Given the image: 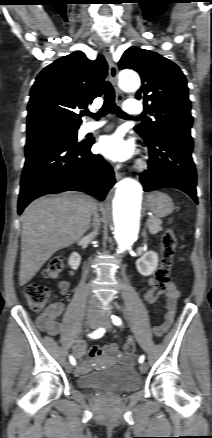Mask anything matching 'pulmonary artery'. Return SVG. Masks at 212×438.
<instances>
[{
  "label": "pulmonary artery",
  "mask_w": 212,
  "mask_h": 438,
  "mask_svg": "<svg viewBox=\"0 0 212 438\" xmlns=\"http://www.w3.org/2000/svg\"><path fill=\"white\" fill-rule=\"evenodd\" d=\"M124 110L128 114H138V113L142 112L143 105L141 102L131 99V100L126 101V103L124 104ZM104 124H105L104 121L89 122V123L84 125L83 132L88 133V132L95 131V130L101 128Z\"/></svg>",
  "instance_id": "obj_1"
}]
</instances>
